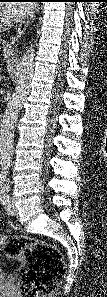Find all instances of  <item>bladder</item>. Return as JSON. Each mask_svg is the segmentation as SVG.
Segmentation results:
<instances>
[{
    "label": "bladder",
    "mask_w": 107,
    "mask_h": 297,
    "mask_svg": "<svg viewBox=\"0 0 107 297\" xmlns=\"http://www.w3.org/2000/svg\"><path fill=\"white\" fill-rule=\"evenodd\" d=\"M0 278L3 279L4 278V273L2 272V270L0 269Z\"/></svg>",
    "instance_id": "bladder-1"
}]
</instances>
